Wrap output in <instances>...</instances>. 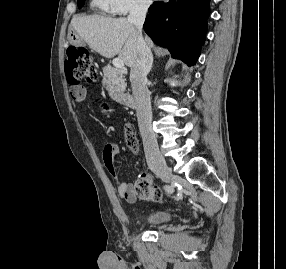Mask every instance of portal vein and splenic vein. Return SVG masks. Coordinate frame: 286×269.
Returning a JSON list of instances; mask_svg holds the SVG:
<instances>
[{"label":"portal vein and splenic vein","mask_w":286,"mask_h":269,"mask_svg":"<svg viewBox=\"0 0 286 269\" xmlns=\"http://www.w3.org/2000/svg\"><path fill=\"white\" fill-rule=\"evenodd\" d=\"M113 65L117 69H123L124 68V61L117 58L113 60Z\"/></svg>","instance_id":"portal-vein-and-splenic-vein-1"}]
</instances>
